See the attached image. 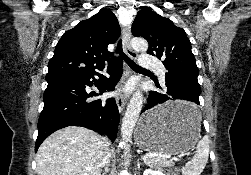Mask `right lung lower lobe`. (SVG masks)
Instances as JSON below:
<instances>
[{
    "instance_id": "obj_1",
    "label": "right lung lower lobe",
    "mask_w": 251,
    "mask_h": 175,
    "mask_svg": "<svg viewBox=\"0 0 251 175\" xmlns=\"http://www.w3.org/2000/svg\"><path fill=\"white\" fill-rule=\"evenodd\" d=\"M123 62L115 60L108 67L110 78L102 77L97 88L100 93L113 91L122 75ZM93 72L86 75L59 78L47 81L44 92V108L38 121V137L35 152L40 144L53 132L67 126H82L99 133H106L113 142L116 138L119 111L113 98L86 101L99 93L87 94L85 87L95 81ZM93 79V81H91Z\"/></svg>"
}]
</instances>
